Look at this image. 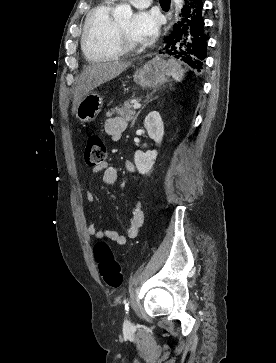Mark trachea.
<instances>
[{"mask_svg": "<svg viewBox=\"0 0 276 363\" xmlns=\"http://www.w3.org/2000/svg\"><path fill=\"white\" fill-rule=\"evenodd\" d=\"M161 6L170 4V0H160Z\"/></svg>", "mask_w": 276, "mask_h": 363, "instance_id": "3493384b", "label": "trachea"}]
</instances>
